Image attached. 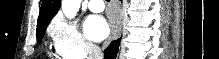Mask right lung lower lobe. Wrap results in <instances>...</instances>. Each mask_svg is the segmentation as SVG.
<instances>
[{
  "label": "right lung lower lobe",
  "instance_id": "98d812e1",
  "mask_svg": "<svg viewBox=\"0 0 219 59\" xmlns=\"http://www.w3.org/2000/svg\"><path fill=\"white\" fill-rule=\"evenodd\" d=\"M119 45L120 39L112 41L110 45L104 50V59H116Z\"/></svg>",
  "mask_w": 219,
  "mask_h": 59
}]
</instances>
